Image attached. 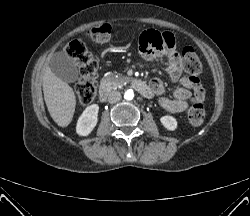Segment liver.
<instances>
[{
  "mask_svg": "<svg viewBox=\"0 0 250 216\" xmlns=\"http://www.w3.org/2000/svg\"><path fill=\"white\" fill-rule=\"evenodd\" d=\"M43 93L48 111L57 125L67 127L72 121L76 97L73 89L46 67L43 75Z\"/></svg>",
  "mask_w": 250,
  "mask_h": 216,
  "instance_id": "obj_1",
  "label": "liver"
}]
</instances>
